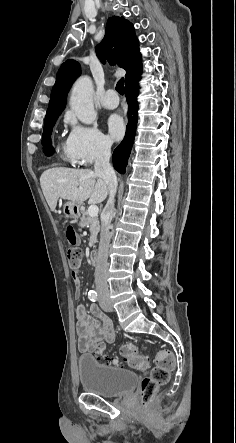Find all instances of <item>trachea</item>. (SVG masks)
<instances>
[{"mask_svg": "<svg viewBox=\"0 0 236 443\" xmlns=\"http://www.w3.org/2000/svg\"><path fill=\"white\" fill-rule=\"evenodd\" d=\"M116 90L119 94H124V78H121L116 85Z\"/></svg>", "mask_w": 236, "mask_h": 443, "instance_id": "3493384b", "label": "trachea"}]
</instances>
